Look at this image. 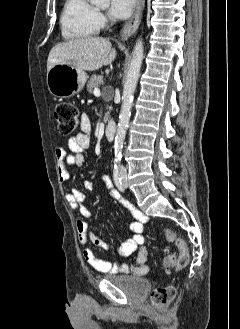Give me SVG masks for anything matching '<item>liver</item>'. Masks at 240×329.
I'll return each instance as SVG.
<instances>
[{"label":"liver","mask_w":240,"mask_h":329,"mask_svg":"<svg viewBox=\"0 0 240 329\" xmlns=\"http://www.w3.org/2000/svg\"><path fill=\"white\" fill-rule=\"evenodd\" d=\"M116 50L109 39L85 37L73 39L55 45L48 56L47 71L56 64H67L72 67L95 71L107 66L116 58Z\"/></svg>","instance_id":"liver-1"}]
</instances>
